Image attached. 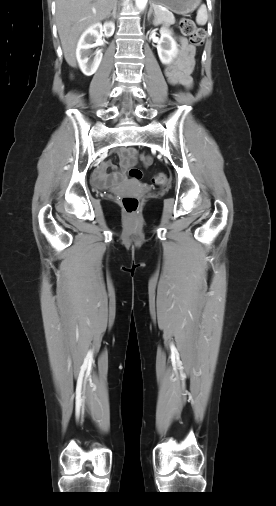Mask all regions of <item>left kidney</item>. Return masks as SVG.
Segmentation results:
<instances>
[{"mask_svg": "<svg viewBox=\"0 0 276 506\" xmlns=\"http://www.w3.org/2000/svg\"><path fill=\"white\" fill-rule=\"evenodd\" d=\"M160 40L157 45V52L162 63L169 64L178 53V45L172 37V32L168 28H161Z\"/></svg>", "mask_w": 276, "mask_h": 506, "instance_id": "left-kidney-1", "label": "left kidney"}]
</instances>
